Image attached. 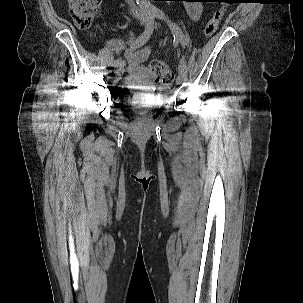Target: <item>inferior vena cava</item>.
I'll return each mask as SVG.
<instances>
[{
	"mask_svg": "<svg viewBox=\"0 0 303 303\" xmlns=\"http://www.w3.org/2000/svg\"><path fill=\"white\" fill-rule=\"evenodd\" d=\"M128 5L130 6V12L136 18L140 17V11L134 6L133 0H127Z\"/></svg>",
	"mask_w": 303,
	"mask_h": 303,
	"instance_id": "1",
	"label": "inferior vena cava"
}]
</instances>
